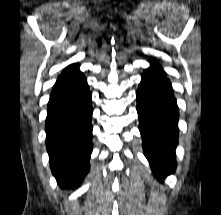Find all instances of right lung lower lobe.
Here are the masks:
<instances>
[{
    "instance_id": "98d812e1",
    "label": "right lung lower lobe",
    "mask_w": 221,
    "mask_h": 215,
    "mask_svg": "<svg viewBox=\"0 0 221 215\" xmlns=\"http://www.w3.org/2000/svg\"><path fill=\"white\" fill-rule=\"evenodd\" d=\"M46 118L50 167L61 188L77 187L89 171L92 152V103L80 71L56 82Z\"/></svg>"
}]
</instances>
